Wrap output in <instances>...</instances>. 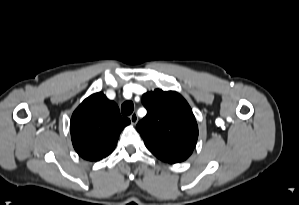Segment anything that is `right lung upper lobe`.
I'll use <instances>...</instances> for the list:
<instances>
[{"instance_id": "1", "label": "right lung upper lobe", "mask_w": 299, "mask_h": 205, "mask_svg": "<svg viewBox=\"0 0 299 205\" xmlns=\"http://www.w3.org/2000/svg\"><path fill=\"white\" fill-rule=\"evenodd\" d=\"M130 124L120 115L117 104L102 93L86 98L74 111L71 138L74 149L84 159L99 161L115 148L122 129Z\"/></svg>"}]
</instances>
